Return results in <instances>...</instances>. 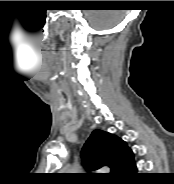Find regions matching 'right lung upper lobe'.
<instances>
[{"label": "right lung upper lobe", "instance_id": "obj_1", "mask_svg": "<svg viewBox=\"0 0 174 184\" xmlns=\"http://www.w3.org/2000/svg\"><path fill=\"white\" fill-rule=\"evenodd\" d=\"M81 157L87 168L96 170L108 166L112 176H117L133 159V153L126 142L117 136L94 130L82 149Z\"/></svg>", "mask_w": 174, "mask_h": 184}]
</instances>
